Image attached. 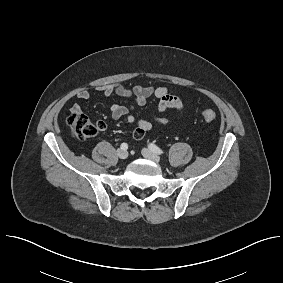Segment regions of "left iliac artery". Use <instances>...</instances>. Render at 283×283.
Wrapping results in <instances>:
<instances>
[{
    "instance_id": "left-iliac-artery-1",
    "label": "left iliac artery",
    "mask_w": 283,
    "mask_h": 283,
    "mask_svg": "<svg viewBox=\"0 0 283 283\" xmlns=\"http://www.w3.org/2000/svg\"><path fill=\"white\" fill-rule=\"evenodd\" d=\"M149 149L156 154H163V151L159 147H157L155 144H152V143L149 144Z\"/></svg>"
}]
</instances>
